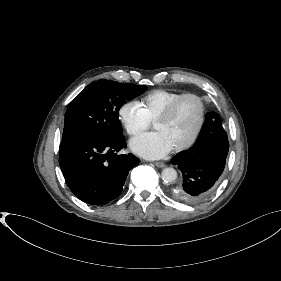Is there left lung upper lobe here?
Returning a JSON list of instances; mask_svg holds the SVG:
<instances>
[{
	"label": "left lung upper lobe",
	"mask_w": 281,
	"mask_h": 281,
	"mask_svg": "<svg viewBox=\"0 0 281 281\" xmlns=\"http://www.w3.org/2000/svg\"><path fill=\"white\" fill-rule=\"evenodd\" d=\"M209 113H210L211 118L216 120L221 125V127H222V123H221V120H220L218 114L215 113V112H209Z\"/></svg>",
	"instance_id": "5c2ea615"
}]
</instances>
